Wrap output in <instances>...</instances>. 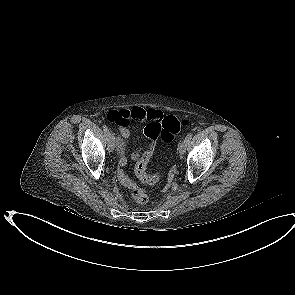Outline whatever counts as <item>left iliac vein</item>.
<instances>
[{"label":"left iliac vein","instance_id":"4c4485c4","mask_svg":"<svg viewBox=\"0 0 295 295\" xmlns=\"http://www.w3.org/2000/svg\"><path fill=\"white\" fill-rule=\"evenodd\" d=\"M188 143L189 142L185 139L180 143L179 148H178L180 155H183L185 153Z\"/></svg>","mask_w":295,"mask_h":295}]
</instances>
